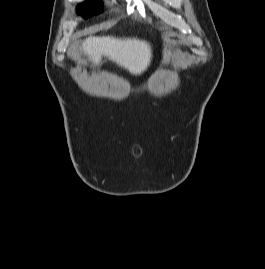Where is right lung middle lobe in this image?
Here are the masks:
<instances>
[{"instance_id": "right-lung-middle-lobe-1", "label": "right lung middle lobe", "mask_w": 265, "mask_h": 269, "mask_svg": "<svg viewBox=\"0 0 265 269\" xmlns=\"http://www.w3.org/2000/svg\"><path fill=\"white\" fill-rule=\"evenodd\" d=\"M100 6V0H88L77 7V13L84 15V18L87 19L90 16L98 14L100 12Z\"/></svg>"}]
</instances>
